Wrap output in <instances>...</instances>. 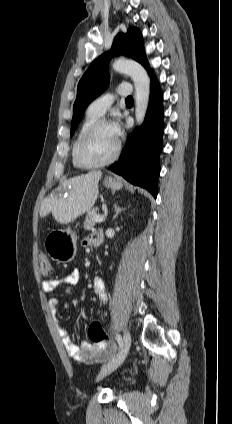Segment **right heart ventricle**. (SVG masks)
<instances>
[{"label": "right heart ventricle", "instance_id": "right-heart-ventricle-1", "mask_svg": "<svg viewBox=\"0 0 232 424\" xmlns=\"http://www.w3.org/2000/svg\"><path fill=\"white\" fill-rule=\"evenodd\" d=\"M97 119H99V116H97V115H95V114H92V113H90V112H86V115H85V117L83 118V120H82V122L80 123V125H79V127H78V129H77V132H76V136H75V139H74V142H73V145H72V152H71V155H72V163H73V165H74V167H76V168H82L79 164H78V162H77V160H76V158H75V149H76V145H77V143H78V141H79V139H80V137L83 135V133L87 130V128L92 124V123H94Z\"/></svg>", "mask_w": 232, "mask_h": 424}]
</instances>
